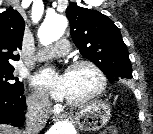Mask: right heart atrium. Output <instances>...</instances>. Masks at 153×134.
<instances>
[{
	"instance_id": "1",
	"label": "right heart atrium",
	"mask_w": 153,
	"mask_h": 134,
	"mask_svg": "<svg viewBox=\"0 0 153 134\" xmlns=\"http://www.w3.org/2000/svg\"><path fill=\"white\" fill-rule=\"evenodd\" d=\"M28 105L34 112L45 113L49 109V100L43 93L33 91L28 97Z\"/></svg>"
}]
</instances>
